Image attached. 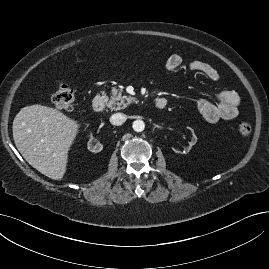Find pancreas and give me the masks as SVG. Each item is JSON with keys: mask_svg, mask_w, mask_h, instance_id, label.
Here are the masks:
<instances>
[{"mask_svg": "<svg viewBox=\"0 0 269 269\" xmlns=\"http://www.w3.org/2000/svg\"><path fill=\"white\" fill-rule=\"evenodd\" d=\"M134 101L135 99L133 97L122 95L121 90L118 91V89L114 88L112 90V96L110 97L106 105L111 110H120L126 108Z\"/></svg>", "mask_w": 269, "mask_h": 269, "instance_id": "obj_1", "label": "pancreas"}]
</instances>
